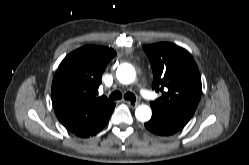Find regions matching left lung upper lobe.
I'll use <instances>...</instances> for the list:
<instances>
[{
    "label": "left lung upper lobe",
    "mask_w": 249,
    "mask_h": 165,
    "mask_svg": "<svg viewBox=\"0 0 249 165\" xmlns=\"http://www.w3.org/2000/svg\"><path fill=\"white\" fill-rule=\"evenodd\" d=\"M143 49L152 65V88L162 92L151 106L191 119L202 92L199 69L191 54L168 42L144 45Z\"/></svg>",
    "instance_id": "obj_1"
}]
</instances>
